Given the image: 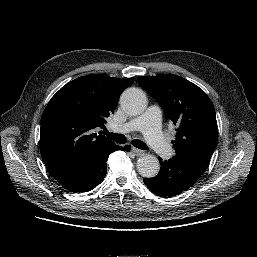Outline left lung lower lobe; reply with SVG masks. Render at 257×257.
I'll return each mask as SVG.
<instances>
[{"instance_id": "0a47b994", "label": "left lung lower lobe", "mask_w": 257, "mask_h": 257, "mask_svg": "<svg viewBox=\"0 0 257 257\" xmlns=\"http://www.w3.org/2000/svg\"><path fill=\"white\" fill-rule=\"evenodd\" d=\"M161 161V169L156 177L144 178L150 191L162 196L172 197L189 189L205 171L185 157L175 155L168 161Z\"/></svg>"}]
</instances>
